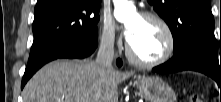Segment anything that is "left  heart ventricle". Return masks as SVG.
Wrapping results in <instances>:
<instances>
[{
	"instance_id": "left-heart-ventricle-1",
	"label": "left heart ventricle",
	"mask_w": 221,
	"mask_h": 102,
	"mask_svg": "<svg viewBox=\"0 0 221 102\" xmlns=\"http://www.w3.org/2000/svg\"><path fill=\"white\" fill-rule=\"evenodd\" d=\"M134 29L129 41L134 52L143 60H155L165 51L167 41L163 29L154 21L135 15L128 21Z\"/></svg>"
}]
</instances>
